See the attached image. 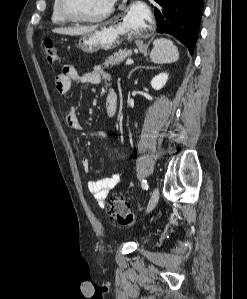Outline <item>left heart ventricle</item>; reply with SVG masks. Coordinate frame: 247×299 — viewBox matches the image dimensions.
<instances>
[{"label": "left heart ventricle", "instance_id": "left-heart-ventricle-1", "mask_svg": "<svg viewBox=\"0 0 247 299\" xmlns=\"http://www.w3.org/2000/svg\"><path fill=\"white\" fill-rule=\"evenodd\" d=\"M69 10L82 17H94L104 12L111 0H67Z\"/></svg>", "mask_w": 247, "mask_h": 299}]
</instances>
